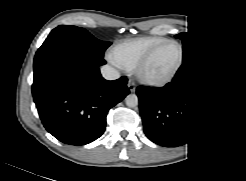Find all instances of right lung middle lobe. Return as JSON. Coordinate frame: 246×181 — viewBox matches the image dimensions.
Listing matches in <instances>:
<instances>
[{
    "instance_id": "obj_1",
    "label": "right lung middle lobe",
    "mask_w": 246,
    "mask_h": 181,
    "mask_svg": "<svg viewBox=\"0 0 246 181\" xmlns=\"http://www.w3.org/2000/svg\"><path fill=\"white\" fill-rule=\"evenodd\" d=\"M110 42L100 41L86 29L77 26L61 25L53 29L42 46L38 49L34 60L43 57L49 51L60 47H70L80 50L92 60L105 64L104 51Z\"/></svg>"
}]
</instances>
